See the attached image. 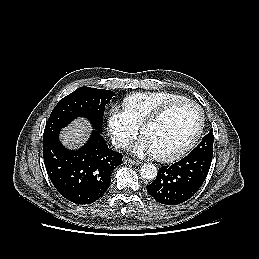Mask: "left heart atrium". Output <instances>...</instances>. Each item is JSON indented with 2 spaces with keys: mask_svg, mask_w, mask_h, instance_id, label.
<instances>
[{
  "mask_svg": "<svg viewBox=\"0 0 259 259\" xmlns=\"http://www.w3.org/2000/svg\"><path fill=\"white\" fill-rule=\"evenodd\" d=\"M132 152L139 156L154 154L151 145L144 137L132 146Z\"/></svg>",
  "mask_w": 259,
  "mask_h": 259,
  "instance_id": "obj_1",
  "label": "left heart atrium"
}]
</instances>
